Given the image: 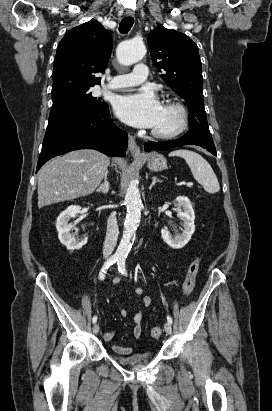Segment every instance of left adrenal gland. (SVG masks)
<instances>
[{"instance_id": "a2214340", "label": "left adrenal gland", "mask_w": 272, "mask_h": 411, "mask_svg": "<svg viewBox=\"0 0 272 411\" xmlns=\"http://www.w3.org/2000/svg\"><path fill=\"white\" fill-rule=\"evenodd\" d=\"M160 181H161V180L158 179L156 176L152 177V182H151V184H150V186H149V190H151L152 187H153L157 182H160Z\"/></svg>"}]
</instances>
